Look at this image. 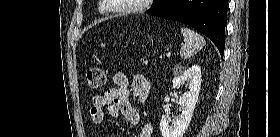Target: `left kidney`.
Returning <instances> with one entry per match:
<instances>
[{"label": "left kidney", "mask_w": 280, "mask_h": 137, "mask_svg": "<svg viewBox=\"0 0 280 137\" xmlns=\"http://www.w3.org/2000/svg\"><path fill=\"white\" fill-rule=\"evenodd\" d=\"M186 81L189 91L179 98L178 104L181 106V114L175 117L172 125L169 126L168 117L162 116L160 121V131L163 137H183L192 118V114L198 99L201 86V68L199 65H192L187 70L180 72L173 80V88H180ZM164 101L169 102L168 95Z\"/></svg>", "instance_id": "1"}]
</instances>
